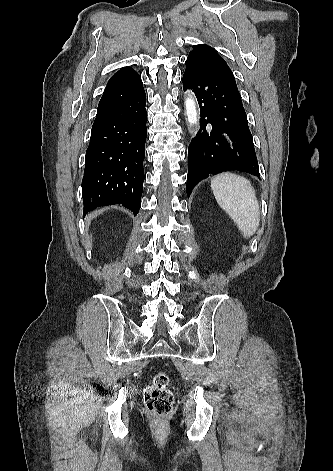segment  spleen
Instances as JSON below:
<instances>
[{
    "instance_id": "spleen-1",
    "label": "spleen",
    "mask_w": 333,
    "mask_h": 471,
    "mask_svg": "<svg viewBox=\"0 0 333 471\" xmlns=\"http://www.w3.org/2000/svg\"><path fill=\"white\" fill-rule=\"evenodd\" d=\"M211 189L218 205L235 222L244 237L252 236L260 223V209L250 181L225 172L213 177Z\"/></svg>"
}]
</instances>
